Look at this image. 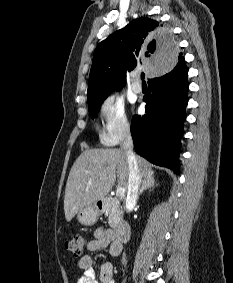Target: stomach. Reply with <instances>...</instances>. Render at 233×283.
Returning a JSON list of instances; mask_svg holds the SVG:
<instances>
[{
    "label": "stomach",
    "mask_w": 233,
    "mask_h": 283,
    "mask_svg": "<svg viewBox=\"0 0 233 283\" xmlns=\"http://www.w3.org/2000/svg\"><path fill=\"white\" fill-rule=\"evenodd\" d=\"M100 214V210L92 204L77 213V220L83 225H92L98 220Z\"/></svg>",
    "instance_id": "obj_1"
}]
</instances>
